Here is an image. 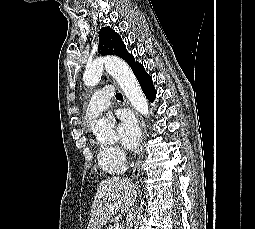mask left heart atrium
Segmentation results:
<instances>
[{"instance_id":"1","label":"left heart atrium","mask_w":255,"mask_h":229,"mask_svg":"<svg viewBox=\"0 0 255 229\" xmlns=\"http://www.w3.org/2000/svg\"><path fill=\"white\" fill-rule=\"evenodd\" d=\"M118 118L117 132L121 144L128 150L135 149L140 139V131L135 120L124 113H119Z\"/></svg>"}]
</instances>
